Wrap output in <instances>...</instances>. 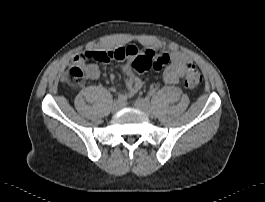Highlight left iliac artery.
I'll use <instances>...</instances> for the list:
<instances>
[{
	"mask_svg": "<svg viewBox=\"0 0 265 202\" xmlns=\"http://www.w3.org/2000/svg\"><path fill=\"white\" fill-rule=\"evenodd\" d=\"M149 96H154L155 95V90L154 89H150L148 92Z\"/></svg>",
	"mask_w": 265,
	"mask_h": 202,
	"instance_id": "obj_1",
	"label": "left iliac artery"
}]
</instances>
